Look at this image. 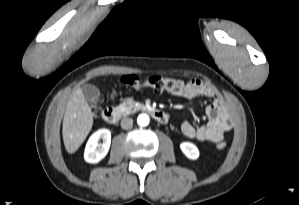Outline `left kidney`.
Returning <instances> with one entry per match:
<instances>
[{
  "label": "left kidney",
  "mask_w": 299,
  "mask_h": 205,
  "mask_svg": "<svg viewBox=\"0 0 299 205\" xmlns=\"http://www.w3.org/2000/svg\"><path fill=\"white\" fill-rule=\"evenodd\" d=\"M180 149L181 151L184 153V155L192 160H195L199 157V150L196 147V145H194L191 142H183L180 144Z\"/></svg>",
  "instance_id": "5707ae66"
}]
</instances>
